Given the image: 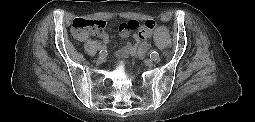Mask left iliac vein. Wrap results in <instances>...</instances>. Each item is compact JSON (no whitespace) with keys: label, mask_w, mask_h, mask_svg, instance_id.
<instances>
[{"label":"left iliac vein","mask_w":255,"mask_h":122,"mask_svg":"<svg viewBox=\"0 0 255 122\" xmlns=\"http://www.w3.org/2000/svg\"><path fill=\"white\" fill-rule=\"evenodd\" d=\"M145 64L147 65V66H153V64H154V62H153V60H151V59H145Z\"/></svg>","instance_id":"4c4485c4"}]
</instances>
